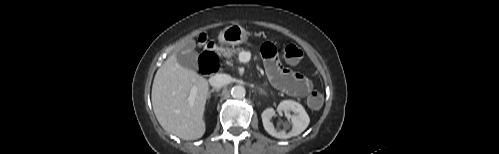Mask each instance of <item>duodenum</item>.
Masks as SVG:
<instances>
[{"label": "duodenum", "mask_w": 499, "mask_h": 154, "mask_svg": "<svg viewBox=\"0 0 499 154\" xmlns=\"http://www.w3.org/2000/svg\"><path fill=\"white\" fill-rule=\"evenodd\" d=\"M215 54V53H214ZM207 57L208 56H203L201 57V59L199 60V68H200V71L204 74H212V73H216L218 70H212L208 67L207 65Z\"/></svg>", "instance_id": "1"}]
</instances>
